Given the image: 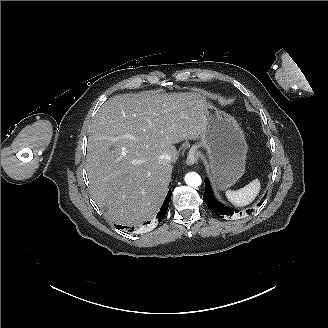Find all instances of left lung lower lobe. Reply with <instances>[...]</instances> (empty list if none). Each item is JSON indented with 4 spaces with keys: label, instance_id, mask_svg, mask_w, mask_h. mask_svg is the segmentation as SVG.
<instances>
[{
    "label": "left lung lower lobe",
    "instance_id": "0a47b994",
    "mask_svg": "<svg viewBox=\"0 0 328 328\" xmlns=\"http://www.w3.org/2000/svg\"><path fill=\"white\" fill-rule=\"evenodd\" d=\"M205 186H206V190L204 192L203 199L207 204V206L209 207V209L212 210L217 216H220L221 218H224L225 216L231 217L234 214V210L224 206L223 204L217 202L214 199L208 179H205ZM246 212L249 213L250 210H247Z\"/></svg>",
    "mask_w": 328,
    "mask_h": 328
}]
</instances>
